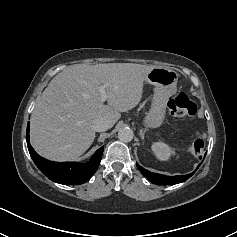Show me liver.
I'll list each match as a JSON object with an SVG mask.
<instances>
[{"instance_id":"obj_1","label":"liver","mask_w":237,"mask_h":237,"mask_svg":"<svg viewBox=\"0 0 237 237\" xmlns=\"http://www.w3.org/2000/svg\"><path fill=\"white\" fill-rule=\"evenodd\" d=\"M154 68L135 63L76 64L57 74L38 99L31 117V143L53 161L80 157L93 143V122L109 121L134 108L142 98L146 75ZM107 85V105L98 88Z\"/></svg>"}]
</instances>
